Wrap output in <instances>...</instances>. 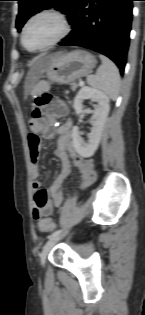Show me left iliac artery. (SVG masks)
I'll list each match as a JSON object with an SVG mask.
<instances>
[{
  "instance_id": "1",
  "label": "left iliac artery",
  "mask_w": 145,
  "mask_h": 315,
  "mask_svg": "<svg viewBox=\"0 0 145 315\" xmlns=\"http://www.w3.org/2000/svg\"><path fill=\"white\" fill-rule=\"evenodd\" d=\"M61 232H62L61 229L56 230V231L53 232L51 235H49L48 238L50 239V238H52V237H54V236H57V235H59Z\"/></svg>"
}]
</instances>
